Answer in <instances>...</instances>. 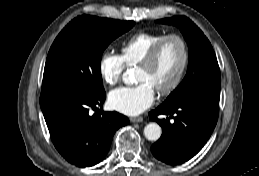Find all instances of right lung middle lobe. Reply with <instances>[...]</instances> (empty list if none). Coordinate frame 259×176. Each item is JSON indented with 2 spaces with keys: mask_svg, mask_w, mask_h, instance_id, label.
Wrapping results in <instances>:
<instances>
[{
  "mask_svg": "<svg viewBox=\"0 0 259 176\" xmlns=\"http://www.w3.org/2000/svg\"><path fill=\"white\" fill-rule=\"evenodd\" d=\"M119 21L82 15L72 20L53 42L45 64L42 92L75 90L103 91L100 71L105 48L134 26Z\"/></svg>",
  "mask_w": 259,
  "mask_h": 176,
  "instance_id": "1",
  "label": "right lung middle lobe"
}]
</instances>
